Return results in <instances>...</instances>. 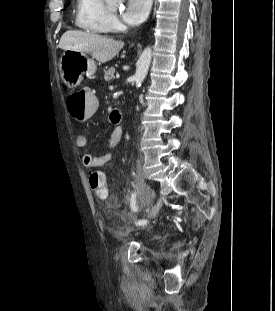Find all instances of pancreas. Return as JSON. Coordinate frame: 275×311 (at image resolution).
<instances>
[{
    "mask_svg": "<svg viewBox=\"0 0 275 311\" xmlns=\"http://www.w3.org/2000/svg\"><path fill=\"white\" fill-rule=\"evenodd\" d=\"M114 73L115 68L114 67L109 68L104 74L105 81H111L114 78Z\"/></svg>",
    "mask_w": 275,
    "mask_h": 311,
    "instance_id": "pancreas-1",
    "label": "pancreas"
}]
</instances>
